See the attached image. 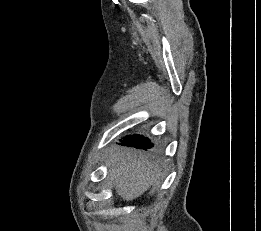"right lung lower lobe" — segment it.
<instances>
[{
	"instance_id": "right-lung-lower-lobe-1",
	"label": "right lung lower lobe",
	"mask_w": 261,
	"mask_h": 231,
	"mask_svg": "<svg viewBox=\"0 0 261 231\" xmlns=\"http://www.w3.org/2000/svg\"><path fill=\"white\" fill-rule=\"evenodd\" d=\"M121 145L135 147L144 150L153 147L152 143H150V140H148V138H144L142 135H133L132 137L127 136L124 138V140H122Z\"/></svg>"
}]
</instances>
